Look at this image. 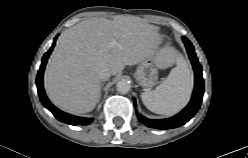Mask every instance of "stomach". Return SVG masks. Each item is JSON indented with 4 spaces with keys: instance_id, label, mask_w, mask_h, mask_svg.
<instances>
[{
    "instance_id": "1",
    "label": "stomach",
    "mask_w": 248,
    "mask_h": 158,
    "mask_svg": "<svg viewBox=\"0 0 248 158\" xmlns=\"http://www.w3.org/2000/svg\"><path fill=\"white\" fill-rule=\"evenodd\" d=\"M171 63V54L163 55L160 61L145 59L137 67L134 77L145 90L155 86L158 81V69L165 68Z\"/></svg>"
}]
</instances>
